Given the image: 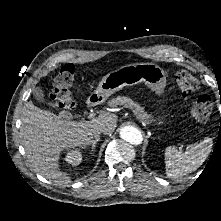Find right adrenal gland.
Here are the masks:
<instances>
[{
    "instance_id": "right-adrenal-gland-1",
    "label": "right adrenal gland",
    "mask_w": 221,
    "mask_h": 221,
    "mask_svg": "<svg viewBox=\"0 0 221 221\" xmlns=\"http://www.w3.org/2000/svg\"><path fill=\"white\" fill-rule=\"evenodd\" d=\"M99 140H100V138H99V136H97L94 140H92L91 142H89L87 144V146H91V153L90 154H92L95 151L96 144Z\"/></svg>"
}]
</instances>
